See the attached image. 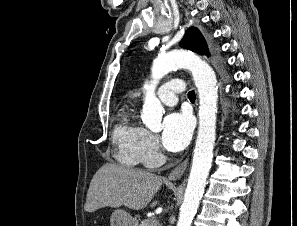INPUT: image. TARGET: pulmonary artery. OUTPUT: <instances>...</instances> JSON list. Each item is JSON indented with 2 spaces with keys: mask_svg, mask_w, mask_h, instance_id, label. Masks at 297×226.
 <instances>
[{
  "mask_svg": "<svg viewBox=\"0 0 297 226\" xmlns=\"http://www.w3.org/2000/svg\"><path fill=\"white\" fill-rule=\"evenodd\" d=\"M185 85L180 79L169 80L157 89V95L160 101L168 106L175 105L177 103V95L184 92Z\"/></svg>",
  "mask_w": 297,
  "mask_h": 226,
  "instance_id": "pulmonary-artery-1",
  "label": "pulmonary artery"
}]
</instances>
